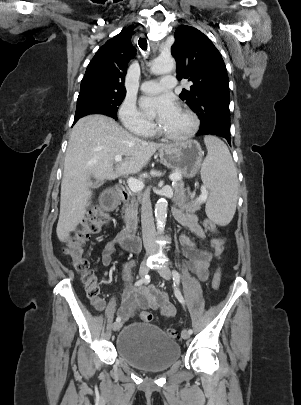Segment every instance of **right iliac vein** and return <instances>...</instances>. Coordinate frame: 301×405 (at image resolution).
Wrapping results in <instances>:
<instances>
[{"instance_id": "obj_1", "label": "right iliac vein", "mask_w": 301, "mask_h": 405, "mask_svg": "<svg viewBox=\"0 0 301 405\" xmlns=\"http://www.w3.org/2000/svg\"><path fill=\"white\" fill-rule=\"evenodd\" d=\"M148 267L146 266L145 262L142 263V265L140 266L139 269V275L141 278H144L147 274H148ZM122 327V323L121 322H115L112 325V330L113 331H118L120 328Z\"/></svg>"}]
</instances>
